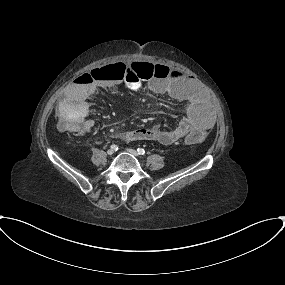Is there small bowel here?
Segmentation results:
<instances>
[{
	"mask_svg": "<svg viewBox=\"0 0 285 285\" xmlns=\"http://www.w3.org/2000/svg\"><path fill=\"white\" fill-rule=\"evenodd\" d=\"M106 68L97 70L105 71ZM123 81L131 90H139L142 87L137 76L124 65L122 72L106 73L103 79L95 80L90 84H82L75 79L68 86L66 97L58 103L56 109L58 117L79 118L81 124L78 132L80 134L90 132L94 127V121L85 119L90 108L89 98L98 87L114 88ZM147 87L154 93H167L175 101L182 102L185 117L169 130L160 127L137 129L120 132L115 135V139L123 142L152 140L163 145H170L184 138L193 130L205 132L212 127L213 118L207 99L193 78L179 76L173 80H152L147 84Z\"/></svg>",
	"mask_w": 285,
	"mask_h": 285,
	"instance_id": "obj_1",
	"label": "small bowel"
}]
</instances>
